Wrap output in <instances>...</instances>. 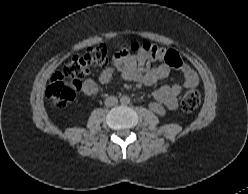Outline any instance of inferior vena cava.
Here are the masks:
<instances>
[{
  "label": "inferior vena cava",
  "instance_id": "obj_1",
  "mask_svg": "<svg viewBox=\"0 0 248 194\" xmlns=\"http://www.w3.org/2000/svg\"><path fill=\"white\" fill-rule=\"evenodd\" d=\"M118 103V99L114 96H109L105 99V105L107 107H111V106H114Z\"/></svg>",
  "mask_w": 248,
  "mask_h": 194
}]
</instances>
